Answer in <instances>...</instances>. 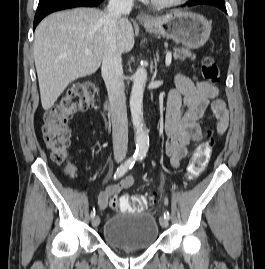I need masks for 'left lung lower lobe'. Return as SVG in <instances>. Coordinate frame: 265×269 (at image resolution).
<instances>
[{
    "label": "left lung lower lobe",
    "mask_w": 265,
    "mask_h": 269,
    "mask_svg": "<svg viewBox=\"0 0 265 269\" xmlns=\"http://www.w3.org/2000/svg\"><path fill=\"white\" fill-rule=\"evenodd\" d=\"M199 4L213 5L215 7H218L225 13H227L224 0H192L190 3H188L189 6H194V5H199Z\"/></svg>",
    "instance_id": "1"
}]
</instances>
